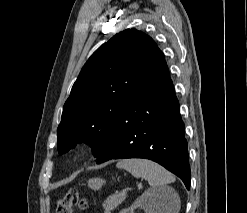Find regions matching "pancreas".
I'll use <instances>...</instances> for the list:
<instances>
[{"label":"pancreas","mask_w":247,"mask_h":213,"mask_svg":"<svg viewBox=\"0 0 247 213\" xmlns=\"http://www.w3.org/2000/svg\"><path fill=\"white\" fill-rule=\"evenodd\" d=\"M125 198L126 196L120 194H113L109 196L102 204L105 213H111L112 210L117 208V206H119L125 200Z\"/></svg>","instance_id":"1"}]
</instances>
